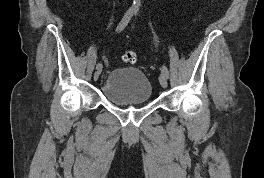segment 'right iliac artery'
<instances>
[{
  "mask_svg": "<svg viewBox=\"0 0 264 178\" xmlns=\"http://www.w3.org/2000/svg\"><path fill=\"white\" fill-rule=\"evenodd\" d=\"M132 16H133V11H131V10L127 11L125 13L124 17L122 18V20L120 21L119 25L117 26L116 31L117 32L122 31L127 26L129 21L131 20ZM96 68L97 69H102V64L98 63L96 65Z\"/></svg>",
  "mask_w": 264,
  "mask_h": 178,
  "instance_id": "1",
  "label": "right iliac artery"
}]
</instances>
